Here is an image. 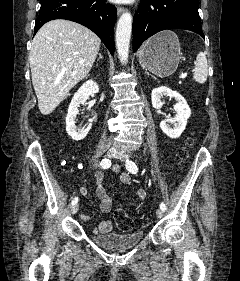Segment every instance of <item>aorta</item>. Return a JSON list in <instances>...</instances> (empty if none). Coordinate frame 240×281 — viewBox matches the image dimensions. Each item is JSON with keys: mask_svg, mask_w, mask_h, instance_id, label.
<instances>
[{"mask_svg": "<svg viewBox=\"0 0 240 281\" xmlns=\"http://www.w3.org/2000/svg\"><path fill=\"white\" fill-rule=\"evenodd\" d=\"M132 31V16L124 12L120 16L116 28V48L121 62H127L129 56L130 38Z\"/></svg>", "mask_w": 240, "mask_h": 281, "instance_id": "1", "label": "aorta"}]
</instances>
